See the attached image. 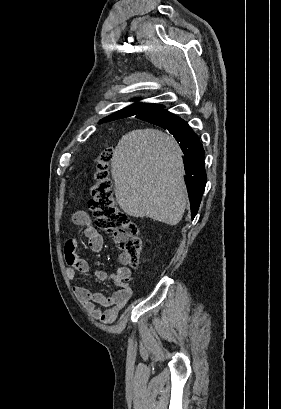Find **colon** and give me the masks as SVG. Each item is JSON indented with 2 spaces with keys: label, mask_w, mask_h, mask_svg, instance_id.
<instances>
[{
  "label": "colon",
  "mask_w": 281,
  "mask_h": 409,
  "mask_svg": "<svg viewBox=\"0 0 281 409\" xmlns=\"http://www.w3.org/2000/svg\"><path fill=\"white\" fill-rule=\"evenodd\" d=\"M114 152L104 148L94 159V185L91 188L90 206L95 224L112 234L123 263L137 266L141 250L138 227L116 204L110 164Z\"/></svg>",
  "instance_id": "5ec220e1"
}]
</instances>
